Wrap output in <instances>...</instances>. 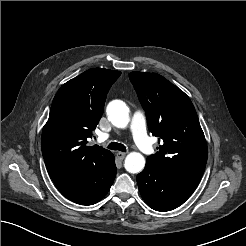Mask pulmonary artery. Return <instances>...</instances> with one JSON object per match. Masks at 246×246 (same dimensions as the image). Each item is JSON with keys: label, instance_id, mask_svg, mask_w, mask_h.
I'll return each mask as SVG.
<instances>
[{"label": "pulmonary artery", "instance_id": "e3ab8cb5", "mask_svg": "<svg viewBox=\"0 0 246 246\" xmlns=\"http://www.w3.org/2000/svg\"><path fill=\"white\" fill-rule=\"evenodd\" d=\"M130 132L138 148L145 154H150L152 145L146 131V118L141 111H136L131 119ZM107 136L104 135V138Z\"/></svg>", "mask_w": 246, "mask_h": 246}]
</instances>
